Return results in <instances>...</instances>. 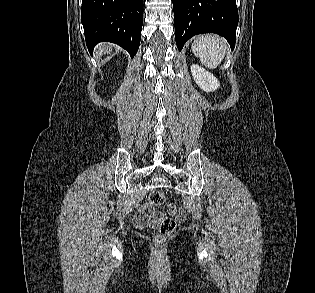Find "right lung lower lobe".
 Returning a JSON list of instances; mask_svg holds the SVG:
<instances>
[{"instance_id": "obj_1", "label": "right lung lower lobe", "mask_w": 315, "mask_h": 293, "mask_svg": "<svg viewBox=\"0 0 315 293\" xmlns=\"http://www.w3.org/2000/svg\"><path fill=\"white\" fill-rule=\"evenodd\" d=\"M81 22L90 53L103 41L137 53L143 24V0H82Z\"/></svg>"}]
</instances>
